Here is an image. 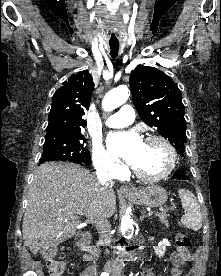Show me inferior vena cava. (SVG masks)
I'll return each instance as SVG.
<instances>
[{
	"mask_svg": "<svg viewBox=\"0 0 221 276\" xmlns=\"http://www.w3.org/2000/svg\"><path fill=\"white\" fill-rule=\"evenodd\" d=\"M97 178L102 185L107 186L109 181V176L103 171H97ZM92 223L95 225L99 233V243L101 245H108L111 243V225L108 219L101 215L97 214L93 217Z\"/></svg>",
	"mask_w": 221,
	"mask_h": 276,
	"instance_id": "obj_1",
	"label": "inferior vena cava"
}]
</instances>
